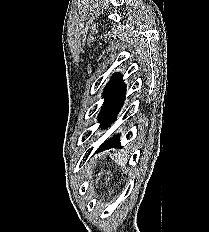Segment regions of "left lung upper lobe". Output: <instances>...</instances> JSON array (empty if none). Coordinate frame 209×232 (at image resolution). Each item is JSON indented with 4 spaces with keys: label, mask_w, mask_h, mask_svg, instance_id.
Segmentation results:
<instances>
[{
    "label": "left lung upper lobe",
    "mask_w": 209,
    "mask_h": 232,
    "mask_svg": "<svg viewBox=\"0 0 209 232\" xmlns=\"http://www.w3.org/2000/svg\"><path fill=\"white\" fill-rule=\"evenodd\" d=\"M123 84L122 75L114 74L109 83L106 85L103 96L106 99L110 98Z\"/></svg>",
    "instance_id": "left-lung-upper-lobe-1"
}]
</instances>
